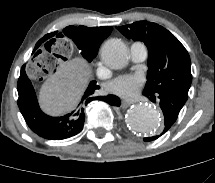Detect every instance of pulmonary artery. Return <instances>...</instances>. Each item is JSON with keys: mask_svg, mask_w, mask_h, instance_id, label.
<instances>
[{"mask_svg": "<svg viewBox=\"0 0 215 183\" xmlns=\"http://www.w3.org/2000/svg\"><path fill=\"white\" fill-rule=\"evenodd\" d=\"M148 55L147 47L142 42H133L130 45V57L132 62L139 63L143 62Z\"/></svg>", "mask_w": 215, "mask_h": 183, "instance_id": "obj_1", "label": "pulmonary artery"}]
</instances>
